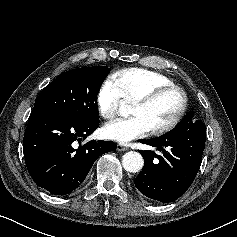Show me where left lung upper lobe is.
<instances>
[{"label":"left lung upper lobe","mask_w":237,"mask_h":237,"mask_svg":"<svg viewBox=\"0 0 237 237\" xmlns=\"http://www.w3.org/2000/svg\"><path fill=\"white\" fill-rule=\"evenodd\" d=\"M191 115H194V113H193V112H188V113L185 115L184 118H186V117H188V116H191ZM184 118H183V119H184Z\"/></svg>","instance_id":"left-lung-upper-lobe-1"}]
</instances>
